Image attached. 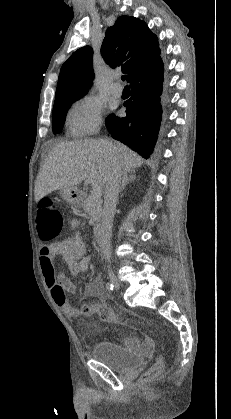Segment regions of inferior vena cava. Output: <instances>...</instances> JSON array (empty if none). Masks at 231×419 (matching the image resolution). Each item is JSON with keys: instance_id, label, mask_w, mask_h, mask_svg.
Listing matches in <instances>:
<instances>
[{"instance_id": "obj_1", "label": "inferior vena cava", "mask_w": 231, "mask_h": 419, "mask_svg": "<svg viewBox=\"0 0 231 419\" xmlns=\"http://www.w3.org/2000/svg\"><path fill=\"white\" fill-rule=\"evenodd\" d=\"M121 176L122 171L120 165L115 161L111 162L106 177L104 208L98 234V244L100 246L103 257L107 261H110L113 217L116 210L117 198L120 190Z\"/></svg>"}]
</instances>
